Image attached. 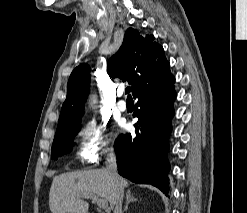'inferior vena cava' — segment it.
Returning <instances> with one entry per match:
<instances>
[{
	"instance_id": "1",
	"label": "inferior vena cava",
	"mask_w": 247,
	"mask_h": 213,
	"mask_svg": "<svg viewBox=\"0 0 247 213\" xmlns=\"http://www.w3.org/2000/svg\"><path fill=\"white\" fill-rule=\"evenodd\" d=\"M106 170L108 171L112 180H114L117 183L114 213H122L123 189L118 184L117 160L113 149H110L108 153L106 159Z\"/></svg>"
}]
</instances>
